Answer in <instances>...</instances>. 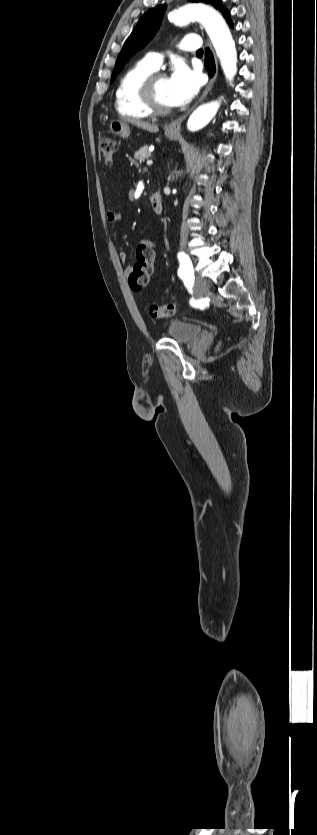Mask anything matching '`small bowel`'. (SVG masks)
<instances>
[{
  "instance_id": "c3829d8e",
  "label": "small bowel",
  "mask_w": 317,
  "mask_h": 835,
  "mask_svg": "<svg viewBox=\"0 0 317 835\" xmlns=\"http://www.w3.org/2000/svg\"><path fill=\"white\" fill-rule=\"evenodd\" d=\"M107 220L111 224L118 223L121 220L120 213L113 208L108 209ZM155 254V244L151 239H144L139 243L136 253L137 260L141 258L145 261L153 263ZM119 259L122 262H125L127 260V254L124 251L119 252ZM128 270L132 271V268H129Z\"/></svg>"
}]
</instances>
